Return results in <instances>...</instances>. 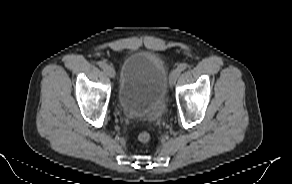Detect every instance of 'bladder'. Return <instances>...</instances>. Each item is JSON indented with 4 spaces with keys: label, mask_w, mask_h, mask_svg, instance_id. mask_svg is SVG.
<instances>
[{
    "label": "bladder",
    "mask_w": 292,
    "mask_h": 184,
    "mask_svg": "<svg viewBox=\"0 0 292 184\" xmlns=\"http://www.w3.org/2000/svg\"><path fill=\"white\" fill-rule=\"evenodd\" d=\"M168 71L152 52L129 55L122 66L117 99L129 117L157 120L163 113L167 96Z\"/></svg>",
    "instance_id": "bladder-1"
}]
</instances>
